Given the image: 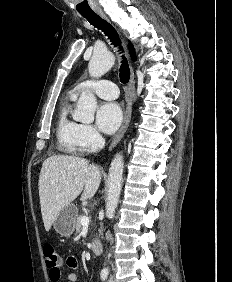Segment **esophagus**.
<instances>
[{"instance_id":"obj_1","label":"esophagus","mask_w":232,"mask_h":282,"mask_svg":"<svg viewBox=\"0 0 232 282\" xmlns=\"http://www.w3.org/2000/svg\"><path fill=\"white\" fill-rule=\"evenodd\" d=\"M96 13L101 18H103L104 20L110 22L109 18L107 17V15L102 10H97ZM122 43H123V46L126 50L127 57L129 59V54H128V51H127L126 42L124 41L123 38H122ZM130 70H131V75H130V79H129V82H128V88H127V106H126V109H125V112H124L123 122H122L120 129L118 130V132L116 133V135L112 139V141L109 145V150H112L117 145V143L121 140V138L125 134L128 126H129V123H130L131 114H132V98H133L134 90H135V87H134V77H135V75H134V71H133L131 64H130Z\"/></svg>"}]
</instances>
